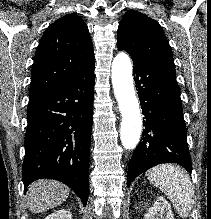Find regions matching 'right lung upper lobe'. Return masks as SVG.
<instances>
[{
    "label": "right lung upper lobe",
    "instance_id": "right-lung-upper-lobe-1",
    "mask_svg": "<svg viewBox=\"0 0 211 219\" xmlns=\"http://www.w3.org/2000/svg\"><path fill=\"white\" fill-rule=\"evenodd\" d=\"M94 63L85 22L75 14L59 18L46 29L36 50L29 99L53 90Z\"/></svg>",
    "mask_w": 211,
    "mask_h": 219
}]
</instances>
